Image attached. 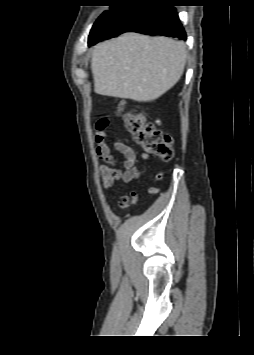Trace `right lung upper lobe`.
Returning <instances> with one entry per match:
<instances>
[{
	"instance_id": "right-lung-upper-lobe-1",
	"label": "right lung upper lobe",
	"mask_w": 254,
	"mask_h": 355,
	"mask_svg": "<svg viewBox=\"0 0 254 355\" xmlns=\"http://www.w3.org/2000/svg\"><path fill=\"white\" fill-rule=\"evenodd\" d=\"M107 1H111V3L126 4V3L136 2L139 0H107Z\"/></svg>"
}]
</instances>
